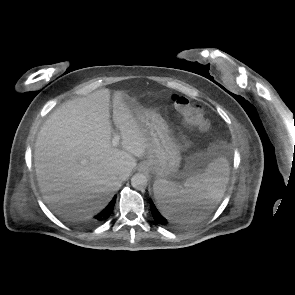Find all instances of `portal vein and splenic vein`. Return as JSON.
Segmentation results:
<instances>
[{"mask_svg": "<svg viewBox=\"0 0 295 295\" xmlns=\"http://www.w3.org/2000/svg\"><path fill=\"white\" fill-rule=\"evenodd\" d=\"M120 135L119 134H114L113 138H112V144L113 146H117L119 144L120 141Z\"/></svg>", "mask_w": 295, "mask_h": 295, "instance_id": "18ae733b", "label": "portal vein and splenic vein"}]
</instances>
